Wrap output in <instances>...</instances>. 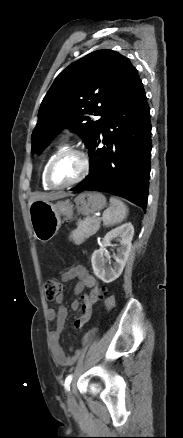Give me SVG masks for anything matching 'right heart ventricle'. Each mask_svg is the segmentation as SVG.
I'll return each instance as SVG.
<instances>
[{
    "mask_svg": "<svg viewBox=\"0 0 183 438\" xmlns=\"http://www.w3.org/2000/svg\"><path fill=\"white\" fill-rule=\"evenodd\" d=\"M64 149H65V144H64V143H60L59 145H57L56 148L54 149V151H53L52 153L49 154V156L47 157V159H46V161H45V163H44V165H43V168H42V171H41V181H42V186H43V188L46 189V190L51 189L50 186L46 183V180H45V171H46L47 165H48V163L50 162V160H51V159H52V158H53L58 152H60V151H62V150H64Z\"/></svg>",
    "mask_w": 183,
    "mask_h": 438,
    "instance_id": "1",
    "label": "right heart ventricle"
}]
</instances>
